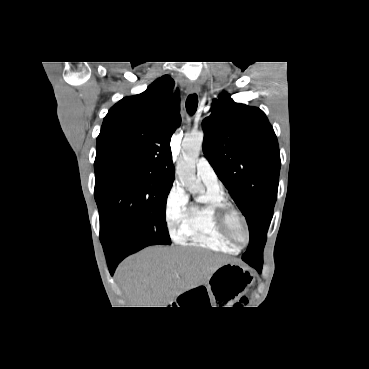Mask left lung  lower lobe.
Returning a JSON list of instances; mask_svg holds the SVG:
<instances>
[{
    "label": "left lung lower lobe",
    "instance_id": "left-lung-lower-lobe-1",
    "mask_svg": "<svg viewBox=\"0 0 369 369\" xmlns=\"http://www.w3.org/2000/svg\"><path fill=\"white\" fill-rule=\"evenodd\" d=\"M262 264L263 263H258V264L249 263V265L252 266L253 268H255L258 272H261V270H262Z\"/></svg>",
    "mask_w": 369,
    "mask_h": 369
}]
</instances>
